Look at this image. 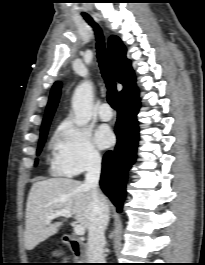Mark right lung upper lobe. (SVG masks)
I'll return each instance as SVG.
<instances>
[{
  "label": "right lung upper lobe",
  "instance_id": "cb5924a9",
  "mask_svg": "<svg viewBox=\"0 0 205 265\" xmlns=\"http://www.w3.org/2000/svg\"><path fill=\"white\" fill-rule=\"evenodd\" d=\"M109 54L116 74V79L124 88L119 94V104H127L139 95L131 62L126 58V48L117 36H111L108 42ZM61 92V83L55 82L42 122L41 130L50 125Z\"/></svg>",
  "mask_w": 205,
  "mask_h": 265
}]
</instances>
